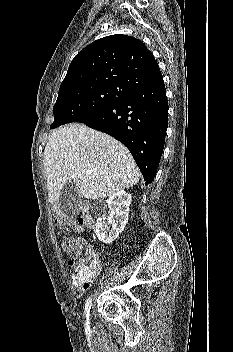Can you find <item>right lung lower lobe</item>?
I'll use <instances>...</instances> for the list:
<instances>
[{
  "label": "right lung lower lobe",
  "instance_id": "98d812e1",
  "mask_svg": "<svg viewBox=\"0 0 233 352\" xmlns=\"http://www.w3.org/2000/svg\"><path fill=\"white\" fill-rule=\"evenodd\" d=\"M79 122L123 143L140 168L145 185L150 184L159 166L168 127L163 78Z\"/></svg>",
  "mask_w": 233,
  "mask_h": 352
}]
</instances>
